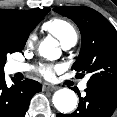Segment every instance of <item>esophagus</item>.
<instances>
[{
	"instance_id": "1",
	"label": "esophagus",
	"mask_w": 117,
	"mask_h": 117,
	"mask_svg": "<svg viewBox=\"0 0 117 117\" xmlns=\"http://www.w3.org/2000/svg\"><path fill=\"white\" fill-rule=\"evenodd\" d=\"M57 87L55 85L51 84H44L43 85V90L45 91H54Z\"/></svg>"
}]
</instances>
